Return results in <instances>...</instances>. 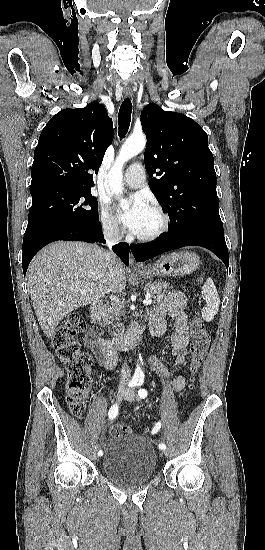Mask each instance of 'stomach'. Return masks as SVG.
<instances>
[{
  "label": "stomach",
  "instance_id": "stomach-1",
  "mask_svg": "<svg viewBox=\"0 0 265 550\" xmlns=\"http://www.w3.org/2000/svg\"><path fill=\"white\" fill-rule=\"evenodd\" d=\"M200 265V258L190 251L173 252L163 255L152 265L136 271L143 278L156 276H185L193 273Z\"/></svg>",
  "mask_w": 265,
  "mask_h": 550
}]
</instances>
